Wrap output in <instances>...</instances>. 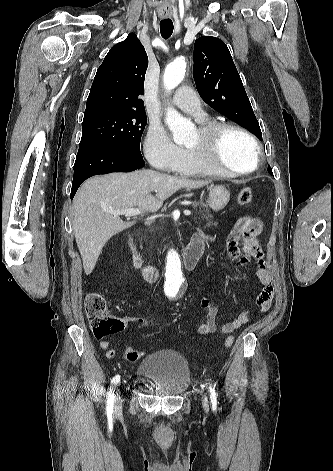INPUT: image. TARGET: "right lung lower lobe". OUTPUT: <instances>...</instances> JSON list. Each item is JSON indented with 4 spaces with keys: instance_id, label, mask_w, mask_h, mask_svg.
Here are the masks:
<instances>
[{
    "instance_id": "1",
    "label": "right lung lower lobe",
    "mask_w": 333,
    "mask_h": 471,
    "mask_svg": "<svg viewBox=\"0 0 333 471\" xmlns=\"http://www.w3.org/2000/svg\"><path fill=\"white\" fill-rule=\"evenodd\" d=\"M144 166L142 156L118 148L107 146L79 148L74 164L71 199L81 183L91 176L110 172H130Z\"/></svg>"
}]
</instances>
